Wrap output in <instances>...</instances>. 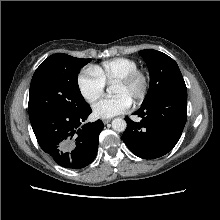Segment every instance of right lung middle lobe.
Masks as SVG:
<instances>
[{
	"label": "right lung middle lobe",
	"instance_id": "1",
	"mask_svg": "<svg viewBox=\"0 0 220 220\" xmlns=\"http://www.w3.org/2000/svg\"><path fill=\"white\" fill-rule=\"evenodd\" d=\"M91 59L59 53L48 57L36 69L29 92L31 124L54 113H78L89 105L79 90V70Z\"/></svg>",
	"mask_w": 220,
	"mask_h": 220
}]
</instances>
